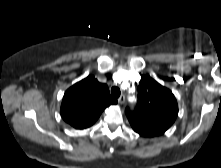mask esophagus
Masks as SVG:
<instances>
[{
	"instance_id": "esophagus-1",
	"label": "esophagus",
	"mask_w": 221,
	"mask_h": 168,
	"mask_svg": "<svg viewBox=\"0 0 221 168\" xmlns=\"http://www.w3.org/2000/svg\"><path fill=\"white\" fill-rule=\"evenodd\" d=\"M118 103H119V104H124V103H125V95H121V96L118 98Z\"/></svg>"
}]
</instances>
